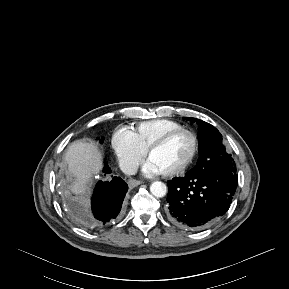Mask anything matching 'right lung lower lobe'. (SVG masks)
Masks as SVG:
<instances>
[{"label": "right lung lower lobe", "mask_w": 289, "mask_h": 289, "mask_svg": "<svg viewBox=\"0 0 289 289\" xmlns=\"http://www.w3.org/2000/svg\"><path fill=\"white\" fill-rule=\"evenodd\" d=\"M104 173H111L105 166ZM128 191V185L120 177L111 182L99 181L91 198V210L86 216V224L101 228L116 222L121 216L122 203Z\"/></svg>", "instance_id": "98d812e1"}]
</instances>
